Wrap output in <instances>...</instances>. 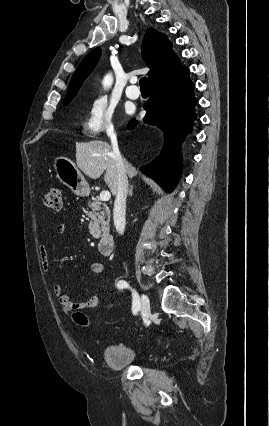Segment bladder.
Listing matches in <instances>:
<instances>
[{
	"label": "bladder",
	"instance_id": "bladder-1",
	"mask_svg": "<svg viewBox=\"0 0 269 426\" xmlns=\"http://www.w3.org/2000/svg\"><path fill=\"white\" fill-rule=\"evenodd\" d=\"M139 352L132 346L125 344H111L102 352L104 363L111 369H121L136 362Z\"/></svg>",
	"mask_w": 269,
	"mask_h": 426
}]
</instances>
